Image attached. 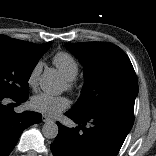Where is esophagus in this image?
Segmentation results:
<instances>
[{
  "label": "esophagus",
  "mask_w": 156,
  "mask_h": 156,
  "mask_svg": "<svg viewBox=\"0 0 156 156\" xmlns=\"http://www.w3.org/2000/svg\"><path fill=\"white\" fill-rule=\"evenodd\" d=\"M42 120H43V122H45V123L52 121V119L49 118V117L46 116V115H43Z\"/></svg>",
  "instance_id": "34e87169"
}]
</instances>
